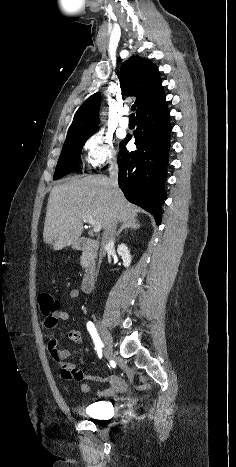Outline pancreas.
I'll return each mask as SVG.
<instances>
[{"label": "pancreas", "mask_w": 236, "mask_h": 467, "mask_svg": "<svg viewBox=\"0 0 236 467\" xmlns=\"http://www.w3.org/2000/svg\"><path fill=\"white\" fill-rule=\"evenodd\" d=\"M86 254H87V253H86ZM86 254H85V255H86ZM85 255H83V256L81 257V264H82V267H86V266H87L86 263H85V261H84V260H85Z\"/></svg>", "instance_id": "obj_1"}]
</instances>
